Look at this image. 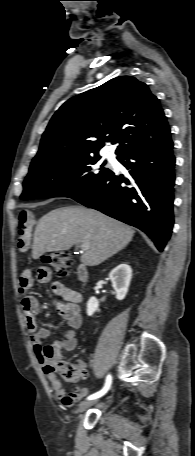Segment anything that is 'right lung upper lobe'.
I'll list each match as a JSON object with an SVG mask.
<instances>
[{
	"mask_svg": "<svg viewBox=\"0 0 195 456\" xmlns=\"http://www.w3.org/2000/svg\"><path fill=\"white\" fill-rule=\"evenodd\" d=\"M170 128L148 86L121 76L66 101L43 133L31 166L74 156L98 155L107 142L116 154L169 140Z\"/></svg>",
	"mask_w": 195,
	"mask_h": 456,
	"instance_id": "obj_1",
	"label": "right lung upper lobe"
}]
</instances>
